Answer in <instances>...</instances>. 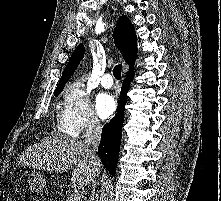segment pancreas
Segmentation results:
<instances>
[{"label": "pancreas", "instance_id": "cf45deb5", "mask_svg": "<svg viewBox=\"0 0 221 201\" xmlns=\"http://www.w3.org/2000/svg\"><path fill=\"white\" fill-rule=\"evenodd\" d=\"M69 199H70V198H67L65 201H69ZM80 201H82V200H80Z\"/></svg>", "mask_w": 221, "mask_h": 201}]
</instances>
